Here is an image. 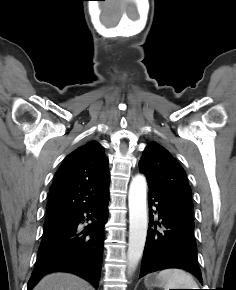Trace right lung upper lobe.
<instances>
[{
	"instance_id": "right-lung-upper-lobe-1",
	"label": "right lung upper lobe",
	"mask_w": 236,
	"mask_h": 290,
	"mask_svg": "<svg viewBox=\"0 0 236 290\" xmlns=\"http://www.w3.org/2000/svg\"><path fill=\"white\" fill-rule=\"evenodd\" d=\"M108 158L91 141L70 153L57 170L46 206V220H64L102 200L109 190Z\"/></svg>"
}]
</instances>
